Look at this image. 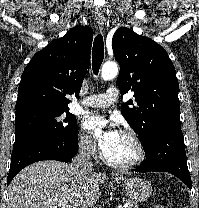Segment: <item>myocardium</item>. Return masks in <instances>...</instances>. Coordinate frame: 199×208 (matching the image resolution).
Listing matches in <instances>:
<instances>
[{"instance_id": "obj_1", "label": "myocardium", "mask_w": 199, "mask_h": 208, "mask_svg": "<svg viewBox=\"0 0 199 208\" xmlns=\"http://www.w3.org/2000/svg\"><path fill=\"white\" fill-rule=\"evenodd\" d=\"M122 134L128 137L135 144L137 148L136 158L129 162H118V161L111 160L104 153L103 159L105 163L110 167L121 169V170H128V169H132V168L139 166L144 161L146 157V148L141 138L133 130L126 129L122 132Z\"/></svg>"}]
</instances>
